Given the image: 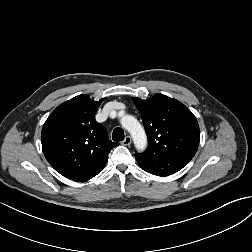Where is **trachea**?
I'll return each instance as SVG.
<instances>
[{"label": "trachea", "instance_id": "trachea-1", "mask_svg": "<svg viewBox=\"0 0 252 252\" xmlns=\"http://www.w3.org/2000/svg\"><path fill=\"white\" fill-rule=\"evenodd\" d=\"M112 139L117 142L124 140L123 129L122 128H115L112 133Z\"/></svg>", "mask_w": 252, "mask_h": 252}]
</instances>
